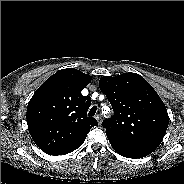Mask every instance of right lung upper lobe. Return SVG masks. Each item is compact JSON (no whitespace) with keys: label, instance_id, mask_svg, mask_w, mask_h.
I'll use <instances>...</instances> for the list:
<instances>
[{"label":"right lung upper lobe","instance_id":"right-lung-upper-lobe-1","mask_svg":"<svg viewBox=\"0 0 184 184\" xmlns=\"http://www.w3.org/2000/svg\"><path fill=\"white\" fill-rule=\"evenodd\" d=\"M91 82L89 74L74 68L50 76L34 93L27 106V125L36 145L50 155L76 150L90 129L97 125L87 117L91 104L81 91Z\"/></svg>","mask_w":184,"mask_h":184}]
</instances>
